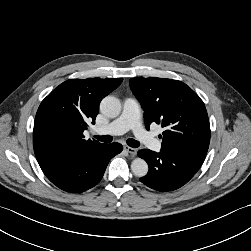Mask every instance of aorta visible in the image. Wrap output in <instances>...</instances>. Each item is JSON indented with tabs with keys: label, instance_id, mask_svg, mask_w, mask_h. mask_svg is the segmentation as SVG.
I'll return each instance as SVG.
<instances>
[{
	"label": "aorta",
	"instance_id": "762f6f07",
	"mask_svg": "<svg viewBox=\"0 0 251 251\" xmlns=\"http://www.w3.org/2000/svg\"><path fill=\"white\" fill-rule=\"evenodd\" d=\"M100 111L106 117L115 118L121 112V103L119 99L107 96L100 103ZM131 170L135 176L143 177L148 173V164L144 159L136 158L131 163Z\"/></svg>",
	"mask_w": 251,
	"mask_h": 251
}]
</instances>
